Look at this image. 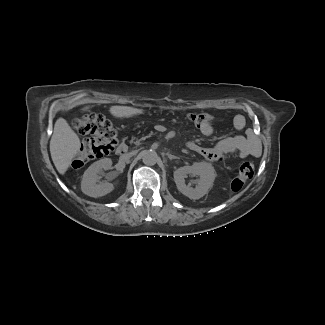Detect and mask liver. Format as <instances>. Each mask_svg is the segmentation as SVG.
I'll return each mask as SVG.
<instances>
[{"mask_svg":"<svg viewBox=\"0 0 325 325\" xmlns=\"http://www.w3.org/2000/svg\"><path fill=\"white\" fill-rule=\"evenodd\" d=\"M89 108L90 106H85L82 108V111H86ZM109 112L114 117L123 118L139 115L144 111L129 106H112ZM80 146L79 136L65 119L59 118L55 123L53 135L50 140V153L52 161L60 174L63 175L68 170Z\"/></svg>","mask_w":325,"mask_h":325,"instance_id":"6515ba94","label":"liver"}]
</instances>
